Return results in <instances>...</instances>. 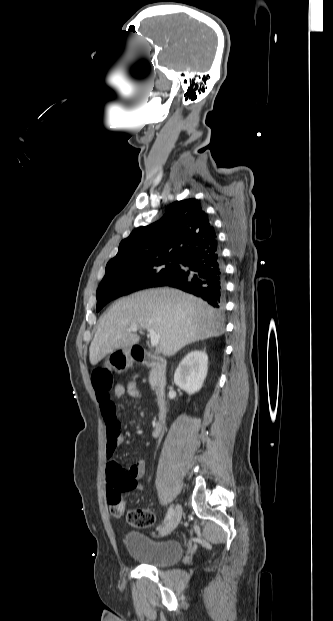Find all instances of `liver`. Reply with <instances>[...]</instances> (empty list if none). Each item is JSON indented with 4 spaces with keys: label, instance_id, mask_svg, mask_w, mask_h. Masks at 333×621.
<instances>
[{
    "label": "liver",
    "instance_id": "obj_1",
    "mask_svg": "<svg viewBox=\"0 0 333 621\" xmlns=\"http://www.w3.org/2000/svg\"><path fill=\"white\" fill-rule=\"evenodd\" d=\"M133 326L160 334L159 348L165 356L224 332L222 315L204 301L170 288L144 290L118 300L100 318L90 345L91 364L137 344L140 336L129 332Z\"/></svg>",
    "mask_w": 333,
    "mask_h": 621
}]
</instances>
